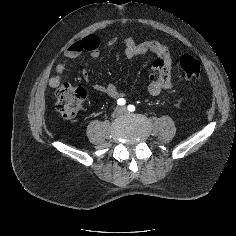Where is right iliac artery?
I'll list each match as a JSON object with an SVG mask.
<instances>
[{
    "instance_id": "right-iliac-artery-1",
    "label": "right iliac artery",
    "mask_w": 236,
    "mask_h": 236,
    "mask_svg": "<svg viewBox=\"0 0 236 236\" xmlns=\"http://www.w3.org/2000/svg\"><path fill=\"white\" fill-rule=\"evenodd\" d=\"M117 104L122 106V105H125L126 104V100L124 98H120L117 100Z\"/></svg>"
}]
</instances>
